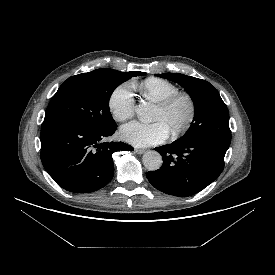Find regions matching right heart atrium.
I'll return each instance as SVG.
<instances>
[{"mask_svg":"<svg viewBox=\"0 0 275 275\" xmlns=\"http://www.w3.org/2000/svg\"><path fill=\"white\" fill-rule=\"evenodd\" d=\"M108 107L116 121L123 122L133 116L135 94L132 82H124L111 92Z\"/></svg>","mask_w":275,"mask_h":275,"instance_id":"obj_1","label":"right heart atrium"}]
</instances>
